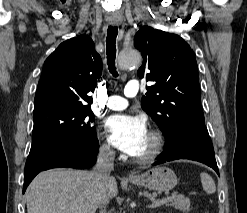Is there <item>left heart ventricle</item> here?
Listing matches in <instances>:
<instances>
[{
	"label": "left heart ventricle",
	"mask_w": 247,
	"mask_h": 213,
	"mask_svg": "<svg viewBox=\"0 0 247 213\" xmlns=\"http://www.w3.org/2000/svg\"><path fill=\"white\" fill-rule=\"evenodd\" d=\"M152 143H153V140H152L151 136L148 134L142 150L136 156L142 157V156L146 155L150 151V149L152 147Z\"/></svg>",
	"instance_id": "1"
}]
</instances>
